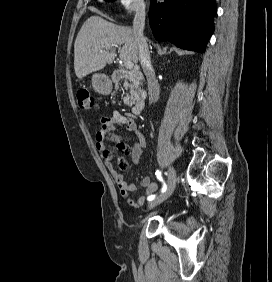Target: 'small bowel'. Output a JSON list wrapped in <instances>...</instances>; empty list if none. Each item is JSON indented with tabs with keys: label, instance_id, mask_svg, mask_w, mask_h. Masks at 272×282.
<instances>
[{
	"label": "small bowel",
	"instance_id": "c3829d8e",
	"mask_svg": "<svg viewBox=\"0 0 272 282\" xmlns=\"http://www.w3.org/2000/svg\"><path fill=\"white\" fill-rule=\"evenodd\" d=\"M101 129L95 134L96 148H102V134L105 130L114 128H126L129 131L135 133L137 141L130 151L132 161L137 164L140 161L142 151L147 146V140L145 135L136 129V123L133 119L121 115L118 112H113L109 117L101 120ZM105 165L108 171L111 173L121 196L125 201L134 207H141L145 203V196H139L137 198L132 197V193L135 190V185L129 183L124 176L114 167L111 161L105 160ZM141 186L145 191L146 195H151L158 189V183L152 181L150 177H144L141 180Z\"/></svg>",
	"mask_w": 272,
	"mask_h": 282
}]
</instances>
